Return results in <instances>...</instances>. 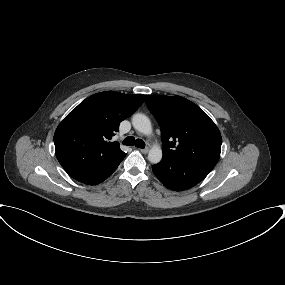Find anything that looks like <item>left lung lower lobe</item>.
Listing matches in <instances>:
<instances>
[{"label":"left lung lower lobe","instance_id":"obj_1","mask_svg":"<svg viewBox=\"0 0 285 285\" xmlns=\"http://www.w3.org/2000/svg\"><path fill=\"white\" fill-rule=\"evenodd\" d=\"M153 172L165 187L181 191L201 182L210 171L190 163L163 158L162 162L153 166Z\"/></svg>","mask_w":285,"mask_h":285}]
</instances>
